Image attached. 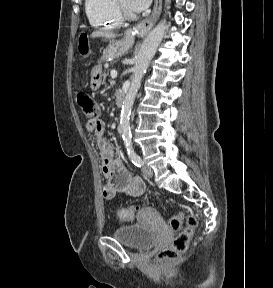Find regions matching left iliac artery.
<instances>
[{"label": "left iliac artery", "mask_w": 273, "mask_h": 288, "mask_svg": "<svg viewBox=\"0 0 273 288\" xmlns=\"http://www.w3.org/2000/svg\"><path fill=\"white\" fill-rule=\"evenodd\" d=\"M129 158L131 159L132 163L137 166L141 167L143 165V161L138 154L135 152L129 153Z\"/></svg>", "instance_id": "1"}]
</instances>
